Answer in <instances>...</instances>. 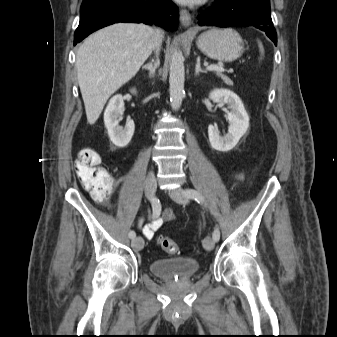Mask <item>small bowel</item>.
I'll list each match as a JSON object with an SVG mask.
<instances>
[{
  "instance_id": "c3829d8e",
  "label": "small bowel",
  "mask_w": 337,
  "mask_h": 337,
  "mask_svg": "<svg viewBox=\"0 0 337 337\" xmlns=\"http://www.w3.org/2000/svg\"><path fill=\"white\" fill-rule=\"evenodd\" d=\"M236 178L241 179L242 175L237 174ZM174 219L173 212L171 210H165L162 214H159L158 216L154 217L153 221H151L149 224H146L144 226L141 225L142 221H139V227L142 230V233L144 237L148 240L152 239L156 233V231L167 222H170Z\"/></svg>"
}]
</instances>
